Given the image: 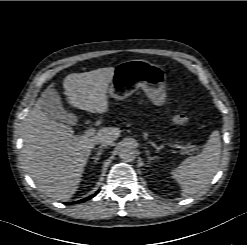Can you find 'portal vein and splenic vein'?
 <instances>
[{"instance_id": "18ae733b", "label": "portal vein and splenic vein", "mask_w": 247, "mask_h": 245, "mask_svg": "<svg viewBox=\"0 0 247 245\" xmlns=\"http://www.w3.org/2000/svg\"><path fill=\"white\" fill-rule=\"evenodd\" d=\"M95 134V129L94 128H89L85 131V136L87 137H90V136H93ZM164 145H167V146H170L172 147L173 145L171 143H167V142H164ZM190 151H193L194 149H196L195 146H190Z\"/></svg>"}]
</instances>
